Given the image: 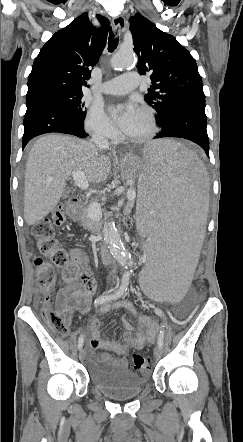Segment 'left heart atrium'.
<instances>
[{"label":"left heart atrium","mask_w":243,"mask_h":442,"mask_svg":"<svg viewBox=\"0 0 243 442\" xmlns=\"http://www.w3.org/2000/svg\"><path fill=\"white\" fill-rule=\"evenodd\" d=\"M139 111L140 110L138 109V107L133 103H129L126 105L123 112L117 119V124L123 132H126L131 127V125L137 118Z\"/></svg>","instance_id":"obj_1"}]
</instances>
